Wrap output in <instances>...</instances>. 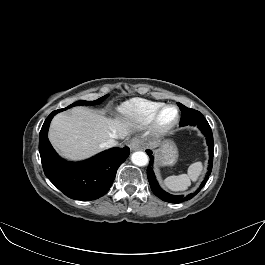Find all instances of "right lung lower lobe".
I'll return each instance as SVG.
<instances>
[{
    "label": "right lung lower lobe",
    "instance_id": "98d812e1",
    "mask_svg": "<svg viewBox=\"0 0 265 265\" xmlns=\"http://www.w3.org/2000/svg\"><path fill=\"white\" fill-rule=\"evenodd\" d=\"M53 111L45 120L39 135V153L46 177L66 196L75 200H94L108 192L117 169L130 153L128 147L111 148L82 162H67L51 146L47 132Z\"/></svg>",
    "mask_w": 265,
    "mask_h": 265
}]
</instances>
